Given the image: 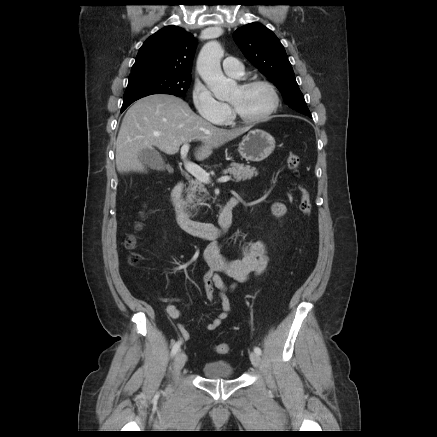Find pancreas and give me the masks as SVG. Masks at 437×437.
I'll return each instance as SVG.
<instances>
[{
  "mask_svg": "<svg viewBox=\"0 0 437 437\" xmlns=\"http://www.w3.org/2000/svg\"><path fill=\"white\" fill-rule=\"evenodd\" d=\"M227 173L233 175L236 182L251 179L253 176L258 175L255 167L244 166V164L239 163H232L228 169L224 170V174ZM207 196L208 192L203 183L198 180L190 183L187 189V202L191 204V208L206 205Z\"/></svg>",
  "mask_w": 437,
  "mask_h": 437,
  "instance_id": "cf45deb5",
  "label": "pancreas"
}]
</instances>
